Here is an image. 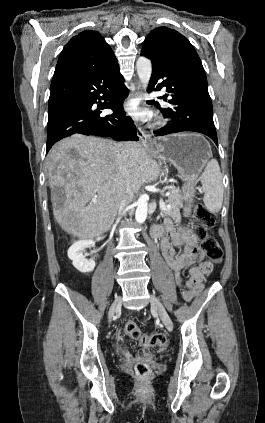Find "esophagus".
<instances>
[{
  "label": "esophagus",
  "mask_w": 265,
  "mask_h": 423,
  "mask_svg": "<svg viewBox=\"0 0 265 423\" xmlns=\"http://www.w3.org/2000/svg\"><path fill=\"white\" fill-rule=\"evenodd\" d=\"M141 93H142L141 84L140 82H137L135 90L130 92L129 94V99H132L134 97H139ZM136 130H137V135L141 143L146 147L150 146L152 144V141L149 135H147L138 124H136Z\"/></svg>",
  "instance_id": "1"
}]
</instances>
